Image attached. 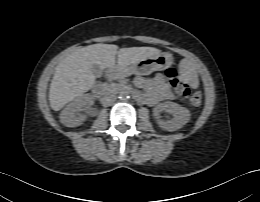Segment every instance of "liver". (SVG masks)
Segmentation results:
<instances>
[{
	"label": "liver",
	"mask_w": 260,
	"mask_h": 202,
	"mask_svg": "<svg viewBox=\"0 0 260 202\" xmlns=\"http://www.w3.org/2000/svg\"><path fill=\"white\" fill-rule=\"evenodd\" d=\"M153 47L121 48L114 44H93L77 49L65 57L56 67L49 89V102L54 111H59L68 102L80 97L95 83L91 68L94 64L101 69L111 67L116 62L125 67L147 57L160 54Z\"/></svg>",
	"instance_id": "1"
}]
</instances>
